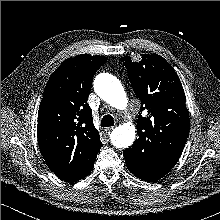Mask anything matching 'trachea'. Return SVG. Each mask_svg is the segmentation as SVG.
I'll return each mask as SVG.
<instances>
[{"label": "trachea", "mask_w": 220, "mask_h": 220, "mask_svg": "<svg viewBox=\"0 0 220 220\" xmlns=\"http://www.w3.org/2000/svg\"><path fill=\"white\" fill-rule=\"evenodd\" d=\"M114 125V118L111 115H105L101 119V127H110Z\"/></svg>", "instance_id": "trachea-1"}]
</instances>
